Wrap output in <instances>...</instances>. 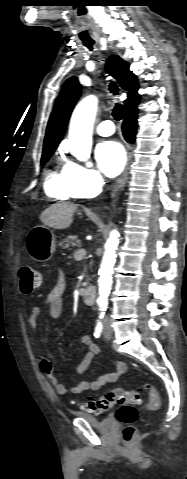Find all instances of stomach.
Wrapping results in <instances>:
<instances>
[{
  "label": "stomach",
  "mask_w": 187,
  "mask_h": 479,
  "mask_svg": "<svg viewBox=\"0 0 187 479\" xmlns=\"http://www.w3.org/2000/svg\"><path fill=\"white\" fill-rule=\"evenodd\" d=\"M26 246L31 258L35 261H49L56 250L55 235L45 226L34 227L27 235Z\"/></svg>",
  "instance_id": "0dacf381"
}]
</instances>
